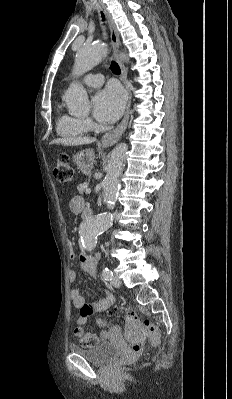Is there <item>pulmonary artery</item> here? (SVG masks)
<instances>
[{"label": "pulmonary artery", "instance_id": "obj_1", "mask_svg": "<svg viewBox=\"0 0 232 399\" xmlns=\"http://www.w3.org/2000/svg\"><path fill=\"white\" fill-rule=\"evenodd\" d=\"M106 77H102L100 73H91L90 77H87V89L88 90H99V84H106Z\"/></svg>", "mask_w": 232, "mask_h": 399}]
</instances>
